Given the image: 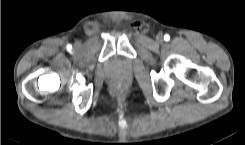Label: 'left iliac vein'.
<instances>
[{"instance_id": "left-iliac-vein-1", "label": "left iliac vein", "mask_w": 245, "mask_h": 145, "mask_svg": "<svg viewBox=\"0 0 245 145\" xmlns=\"http://www.w3.org/2000/svg\"><path fill=\"white\" fill-rule=\"evenodd\" d=\"M157 40H158L159 42H161V41L163 40V37H162V36H158V37H157Z\"/></svg>"}]
</instances>
